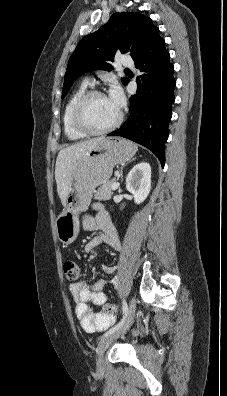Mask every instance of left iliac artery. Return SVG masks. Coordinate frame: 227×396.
I'll use <instances>...</instances> for the list:
<instances>
[{"label":"left iliac artery","instance_id":"44dca946","mask_svg":"<svg viewBox=\"0 0 227 396\" xmlns=\"http://www.w3.org/2000/svg\"><path fill=\"white\" fill-rule=\"evenodd\" d=\"M122 310H123V318H122V320H121L118 324H116L114 327H112L110 330H108V331L102 336V338L105 337V336H107V335H109V334H111V333H113L114 331H116V330L123 324V322H124V320H125V317H126V315H127V311H128V306H127V303H126L125 300H123V302H122Z\"/></svg>","mask_w":227,"mask_h":396}]
</instances>
